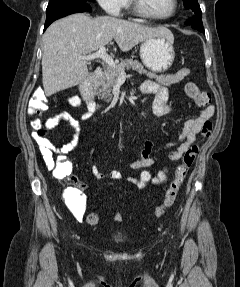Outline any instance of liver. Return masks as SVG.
Listing matches in <instances>:
<instances>
[{
    "mask_svg": "<svg viewBox=\"0 0 240 287\" xmlns=\"http://www.w3.org/2000/svg\"><path fill=\"white\" fill-rule=\"evenodd\" d=\"M157 36L173 37L166 27H149L112 16L91 18L77 13L51 24L43 36L42 81L47 97L83 82L85 60L78 56L97 51L112 39L121 51Z\"/></svg>",
    "mask_w": 240,
    "mask_h": 287,
    "instance_id": "liver-1",
    "label": "liver"
}]
</instances>
